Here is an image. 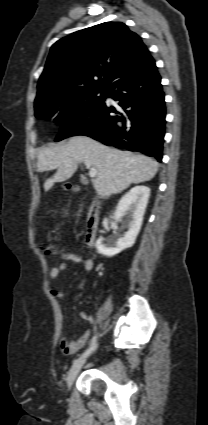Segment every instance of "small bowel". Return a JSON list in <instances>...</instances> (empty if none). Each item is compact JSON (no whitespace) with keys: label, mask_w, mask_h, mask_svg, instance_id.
Here are the masks:
<instances>
[{"label":"small bowel","mask_w":208,"mask_h":425,"mask_svg":"<svg viewBox=\"0 0 208 425\" xmlns=\"http://www.w3.org/2000/svg\"><path fill=\"white\" fill-rule=\"evenodd\" d=\"M62 259H63V262L61 264L53 267L50 270V277L51 278L57 279L61 275V273L64 270L67 269L68 264L71 263V262L81 264L83 266V268L87 271L92 270L93 266H94V262L91 258L83 257L76 252L65 253L63 255ZM51 294L57 299H63V297H64L63 292H61L57 289H52ZM80 317L84 321H87L89 323L94 322L93 317L86 312H81ZM89 336H90L89 332H85L84 334H82L80 337H78L77 339H75L73 341H69L66 338H61L60 341H59L60 349L66 355L73 354L76 351L80 350L86 344V342L89 339Z\"/></svg>","instance_id":"1"}]
</instances>
